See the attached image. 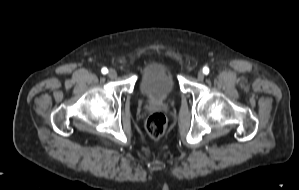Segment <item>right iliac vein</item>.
I'll list each match as a JSON object with an SVG mask.
<instances>
[{
    "instance_id": "right-iliac-vein-1",
    "label": "right iliac vein",
    "mask_w": 299,
    "mask_h": 190,
    "mask_svg": "<svg viewBox=\"0 0 299 190\" xmlns=\"http://www.w3.org/2000/svg\"><path fill=\"white\" fill-rule=\"evenodd\" d=\"M108 76L111 78V79H114L117 77V72L114 70V69H110L109 72H108Z\"/></svg>"
}]
</instances>
